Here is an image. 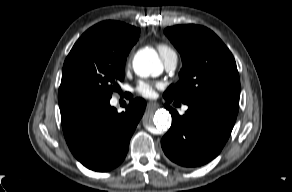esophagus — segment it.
Masks as SVG:
<instances>
[{
    "mask_svg": "<svg viewBox=\"0 0 292 192\" xmlns=\"http://www.w3.org/2000/svg\"><path fill=\"white\" fill-rule=\"evenodd\" d=\"M158 103H156V102H148L147 103V109H156V108H158Z\"/></svg>",
    "mask_w": 292,
    "mask_h": 192,
    "instance_id": "1",
    "label": "esophagus"
}]
</instances>
